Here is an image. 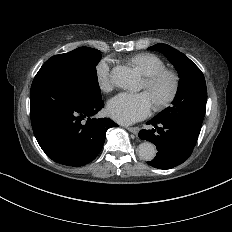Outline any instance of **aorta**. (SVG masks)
<instances>
[{
	"label": "aorta",
	"instance_id": "1",
	"mask_svg": "<svg viewBox=\"0 0 232 232\" xmlns=\"http://www.w3.org/2000/svg\"><path fill=\"white\" fill-rule=\"evenodd\" d=\"M112 82L123 89H133L139 83L138 75L127 66H116L111 72ZM157 149L151 142H143L138 147V154L141 159L151 161L156 156Z\"/></svg>",
	"mask_w": 232,
	"mask_h": 232
}]
</instances>
